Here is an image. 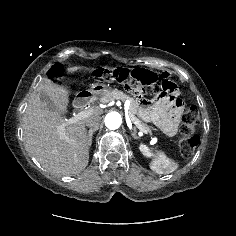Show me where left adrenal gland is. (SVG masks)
<instances>
[{"instance_id":"a2214340","label":"left adrenal gland","mask_w":236,"mask_h":236,"mask_svg":"<svg viewBox=\"0 0 236 236\" xmlns=\"http://www.w3.org/2000/svg\"><path fill=\"white\" fill-rule=\"evenodd\" d=\"M132 137L135 138V139L139 138L136 134V129H134V131L132 132Z\"/></svg>"}]
</instances>
